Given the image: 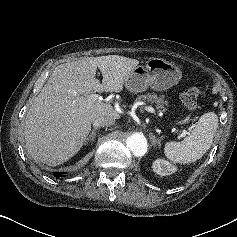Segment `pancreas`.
<instances>
[{
    "label": "pancreas",
    "instance_id": "pancreas-1",
    "mask_svg": "<svg viewBox=\"0 0 237 237\" xmlns=\"http://www.w3.org/2000/svg\"><path fill=\"white\" fill-rule=\"evenodd\" d=\"M147 101L151 104H155V107L157 110H159L160 112H164L166 111V106H168V102L166 100H164L163 96H158L155 93H147L144 95H140L136 98V101Z\"/></svg>",
    "mask_w": 237,
    "mask_h": 237
}]
</instances>
